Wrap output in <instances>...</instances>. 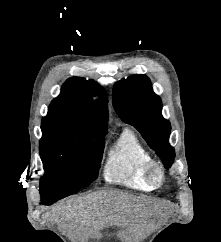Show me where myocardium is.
<instances>
[{
    "mask_svg": "<svg viewBox=\"0 0 221 242\" xmlns=\"http://www.w3.org/2000/svg\"><path fill=\"white\" fill-rule=\"evenodd\" d=\"M144 176L151 187L158 188L165 182V169L159 161L151 159L144 166Z\"/></svg>",
    "mask_w": 221,
    "mask_h": 242,
    "instance_id": "obj_1",
    "label": "myocardium"
}]
</instances>
